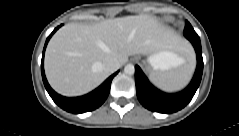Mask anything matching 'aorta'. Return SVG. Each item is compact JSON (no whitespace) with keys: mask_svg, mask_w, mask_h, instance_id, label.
Masks as SVG:
<instances>
[{"mask_svg":"<svg viewBox=\"0 0 239 136\" xmlns=\"http://www.w3.org/2000/svg\"><path fill=\"white\" fill-rule=\"evenodd\" d=\"M124 72L128 75H133L134 72H135V67L133 64H127L125 67H124Z\"/></svg>","mask_w":239,"mask_h":136,"instance_id":"1","label":"aorta"}]
</instances>
